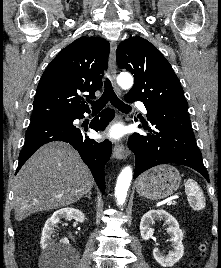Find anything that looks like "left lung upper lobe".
I'll use <instances>...</instances> for the list:
<instances>
[{"instance_id": "obj_1", "label": "left lung upper lobe", "mask_w": 221, "mask_h": 268, "mask_svg": "<svg viewBox=\"0 0 221 268\" xmlns=\"http://www.w3.org/2000/svg\"><path fill=\"white\" fill-rule=\"evenodd\" d=\"M117 64L134 74L127 97L148 107L188 110L180 81L170 63L149 41L130 37L117 47Z\"/></svg>"}]
</instances>
